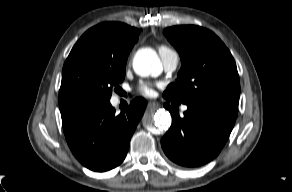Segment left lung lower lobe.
Instances as JSON below:
<instances>
[{
    "label": "left lung lower lobe",
    "instance_id": "left-lung-lower-lobe-1",
    "mask_svg": "<svg viewBox=\"0 0 292 192\" xmlns=\"http://www.w3.org/2000/svg\"><path fill=\"white\" fill-rule=\"evenodd\" d=\"M187 106L184 116L180 117L175 108L164 104L172 115V125L163 136L161 145L174 163L197 167L220 153L232 131L238 108L218 104Z\"/></svg>",
    "mask_w": 292,
    "mask_h": 192
}]
</instances>
